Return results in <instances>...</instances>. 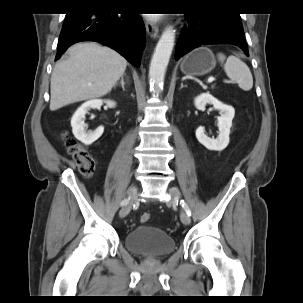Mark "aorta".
Returning a JSON list of instances; mask_svg holds the SVG:
<instances>
[{"mask_svg": "<svg viewBox=\"0 0 303 303\" xmlns=\"http://www.w3.org/2000/svg\"><path fill=\"white\" fill-rule=\"evenodd\" d=\"M175 42V30L172 27H167L155 48L150 67H149V82L156 92H159L163 87L166 69L171 57V53Z\"/></svg>", "mask_w": 303, "mask_h": 303, "instance_id": "obj_1", "label": "aorta"}]
</instances>
